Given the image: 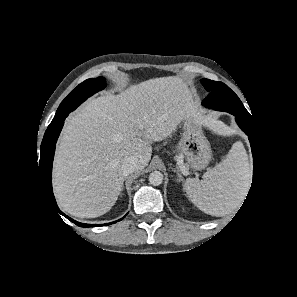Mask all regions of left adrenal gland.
<instances>
[{"label": "left adrenal gland", "mask_w": 297, "mask_h": 297, "mask_svg": "<svg viewBox=\"0 0 297 297\" xmlns=\"http://www.w3.org/2000/svg\"><path fill=\"white\" fill-rule=\"evenodd\" d=\"M174 172H176L177 173V175H178V178H177V182H183L184 183V178H183V176L181 175V173H180V171H179V169L178 168H173L172 169Z\"/></svg>", "instance_id": "a2214340"}]
</instances>
